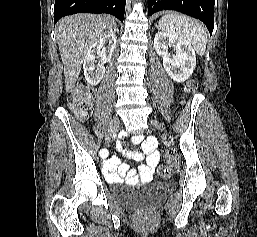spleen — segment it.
<instances>
[{
  "label": "spleen",
  "mask_w": 257,
  "mask_h": 237,
  "mask_svg": "<svg viewBox=\"0 0 257 237\" xmlns=\"http://www.w3.org/2000/svg\"><path fill=\"white\" fill-rule=\"evenodd\" d=\"M158 27L163 32L176 35L188 41L197 54L205 53L207 33L198 21L178 14H166L159 19Z\"/></svg>",
  "instance_id": "spleen-1"
}]
</instances>
